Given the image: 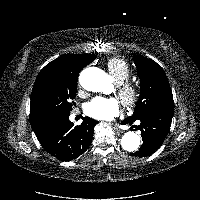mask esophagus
Returning <instances> with one entry per match:
<instances>
[{"mask_svg":"<svg viewBox=\"0 0 200 200\" xmlns=\"http://www.w3.org/2000/svg\"><path fill=\"white\" fill-rule=\"evenodd\" d=\"M114 131H115L116 133H120V132H121V130L118 129L117 127H114Z\"/></svg>","mask_w":200,"mask_h":200,"instance_id":"esophagus-1","label":"esophagus"}]
</instances>
